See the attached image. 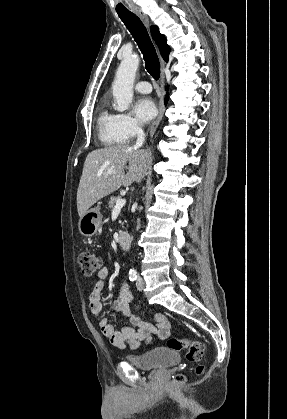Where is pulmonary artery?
I'll use <instances>...</instances> for the list:
<instances>
[{"label":"pulmonary artery","mask_w":287,"mask_h":419,"mask_svg":"<svg viewBox=\"0 0 287 419\" xmlns=\"http://www.w3.org/2000/svg\"><path fill=\"white\" fill-rule=\"evenodd\" d=\"M135 90L138 91V92H140V93H145L146 94V93H150L151 92L152 87H151V85H150L149 82H147V81H141V82H138L135 85Z\"/></svg>","instance_id":"e3ab8cb5"}]
</instances>
